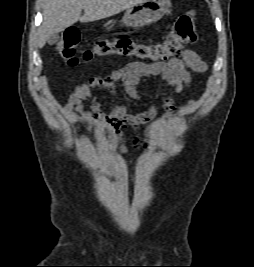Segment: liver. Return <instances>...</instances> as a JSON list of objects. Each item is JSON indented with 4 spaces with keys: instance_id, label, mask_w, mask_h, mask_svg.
I'll return each instance as SVG.
<instances>
[{
    "instance_id": "1",
    "label": "liver",
    "mask_w": 254,
    "mask_h": 267,
    "mask_svg": "<svg viewBox=\"0 0 254 267\" xmlns=\"http://www.w3.org/2000/svg\"><path fill=\"white\" fill-rule=\"evenodd\" d=\"M144 0H45L43 21L38 31V47L43 48L50 35L59 33L78 20L82 23L116 15ZM84 15L81 16V11Z\"/></svg>"
}]
</instances>
